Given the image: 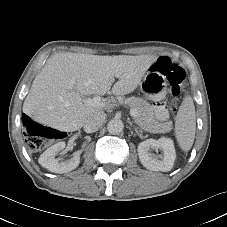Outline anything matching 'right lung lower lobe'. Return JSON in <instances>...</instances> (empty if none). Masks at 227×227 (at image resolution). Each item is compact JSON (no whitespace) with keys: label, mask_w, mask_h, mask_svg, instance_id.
<instances>
[{"label":"right lung lower lobe","mask_w":227,"mask_h":227,"mask_svg":"<svg viewBox=\"0 0 227 227\" xmlns=\"http://www.w3.org/2000/svg\"><path fill=\"white\" fill-rule=\"evenodd\" d=\"M27 116L26 115H23V119H25ZM34 124V122H30L29 125H32Z\"/></svg>","instance_id":"obj_1"}]
</instances>
